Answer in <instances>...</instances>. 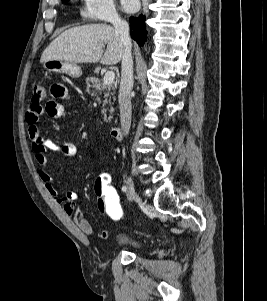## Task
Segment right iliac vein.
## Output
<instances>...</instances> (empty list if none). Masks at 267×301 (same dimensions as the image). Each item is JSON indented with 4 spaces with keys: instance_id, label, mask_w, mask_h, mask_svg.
<instances>
[{
    "instance_id": "right-iliac-vein-1",
    "label": "right iliac vein",
    "mask_w": 267,
    "mask_h": 301,
    "mask_svg": "<svg viewBox=\"0 0 267 301\" xmlns=\"http://www.w3.org/2000/svg\"><path fill=\"white\" fill-rule=\"evenodd\" d=\"M127 197L129 200L141 201L135 191L134 182L131 177L127 178Z\"/></svg>"
}]
</instances>
